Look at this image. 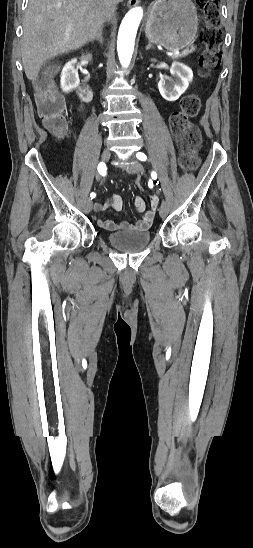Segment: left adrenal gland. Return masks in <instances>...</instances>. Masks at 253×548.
Returning <instances> with one entry per match:
<instances>
[{"mask_svg": "<svg viewBox=\"0 0 253 548\" xmlns=\"http://www.w3.org/2000/svg\"><path fill=\"white\" fill-rule=\"evenodd\" d=\"M151 48L153 49V46H152L151 42H149V44H148L147 47H146V50H149V49H151Z\"/></svg>", "mask_w": 253, "mask_h": 548, "instance_id": "a2214340", "label": "left adrenal gland"}]
</instances>
